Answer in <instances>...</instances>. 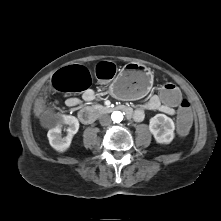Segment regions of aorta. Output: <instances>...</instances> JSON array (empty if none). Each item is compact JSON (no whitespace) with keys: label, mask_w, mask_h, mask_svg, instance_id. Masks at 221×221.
Segmentation results:
<instances>
[{"label":"aorta","mask_w":221,"mask_h":221,"mask_svg":"<svg viewBox=\"0 0 221 221\" xmlns=\"http://www.w3.org/2000/svg\"><path fill=\"white\" fill-rule=\"evenodd\" d=\"M111 119L115 123H120L123 120V113L121 111H114L111 114Z\"/></svg>","instance_id":"1"}]
</instances>
